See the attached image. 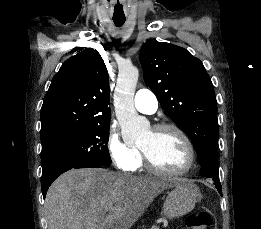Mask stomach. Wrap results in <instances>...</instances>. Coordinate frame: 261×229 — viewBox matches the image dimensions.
I'll return each mask as SVG.
<instances>
[{
  "instance_id": "0dacf381",
  "label": "stomach",
  "mask_w": 261,
  "mask_h": 229,
  "mask_svg": "<svg viewBox=\"0 0 261 229\" xmlns=\"http://www.w3.org/2000/svg\"><path fill=\"white\" fill-rule=\"evenodd\" d=\"M171 189L163 207V215L167 219L187 215L201 199L198 187L189 179H175L172 181Z\"/></svg>"
}]
</instances>
